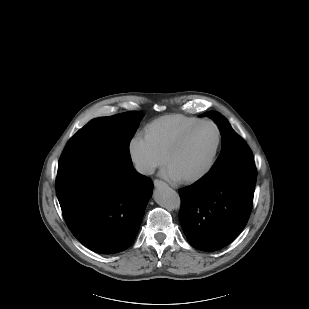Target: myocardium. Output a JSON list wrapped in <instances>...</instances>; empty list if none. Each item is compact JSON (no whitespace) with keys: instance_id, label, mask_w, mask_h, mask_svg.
<instances>
[{"instance_id":"myocardium-1","label":"myocardium","mask_w":309,"mask_h":309,"mask_svg":"<svg viewBox=\"0 0 309 309\" xmlns=\"http://www.w3.org/2000/svg\"><path fill=\"white\" fill-rule=\"evenodd\" d=\"M202 125H211L215 128L216 132H217V142L213 151V154L208 162V164L206 165V167L200 171L199 173L193 175V176H189V177H184V178H180V182L184 183V184H191V183H195L201 179H203L207 174H209V172L213 169L217 157H218V153L222 144V131L221 128L219 127V125L212 121V120H200L197 123L193 124L192 126H190L189 128H187L184 132H182L177 139L173 142V144L171 145V147L169 148L166 156H165V163L168 164L170 159L177 153V151L182 147V145L186 142V140L189 138V136L191 135V133L197 129L199 126Z\"/></svg>"}]
</instances>
